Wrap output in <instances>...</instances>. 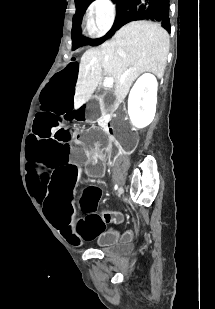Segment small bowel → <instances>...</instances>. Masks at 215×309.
I'll return each mask as SVG.
<instances>
[{
	"label": "small bowel",
	"mask_w": 215,
	"mask_h": 309,
	"mask_svg": "<svg viewBox=\"0 0 215 309\" xmlns=\"http://www.w3.org/2000/svg\"><path fill=\"white\" fill-rule=\"evenodd\" d=\"M128 239H129V236L126 235V236L124 237V240H128Z\"/></svg>",
	"instance_id": "small-bowel-1"
}]
</instances>
